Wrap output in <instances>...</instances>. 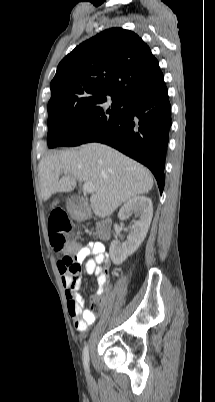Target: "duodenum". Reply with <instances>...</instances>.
Wrapping results in <instances>:
<instances>
[{
    "label": "duodenum",
    "instance_id": "duodenum-1",
    "mask_svg": "<svg viewBox=\"0 0 215 402\" xmlns=\"http://www.w3.org/2000/svg\"><path fill=\"white\" fill-rule=\"evenodd\" d=\"M72 215L79 220L87 219L90 216L89 210L85 205H73L70 207ZM97 234L100 239L108 240L111 235V221L103 218L97 222Z\"/></svg>",
    "mask_w": 215,
    "mask_h": 402
}]
</instances>
